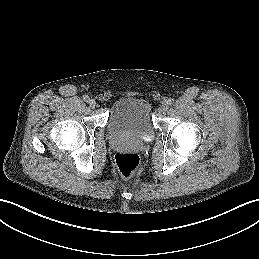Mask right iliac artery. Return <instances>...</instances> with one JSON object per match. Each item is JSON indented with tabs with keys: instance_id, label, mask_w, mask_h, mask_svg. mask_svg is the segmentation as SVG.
Here are the masks:
<instances>
[{
	"instance_id": "82829eb1",
	"label": "right iliac artery",
	"mask_w": 259,
	"mask_h": 259,
	"mask_svg": "<svg viewBox=\"0 0 259 259\" xmlns=\"http://www.w3.org/2000/svg\"><path fill=\"white\" fill-rule=\"evenodd\" d=\"M83 100L85 101V102H88L90 99H89V96H87V95H85V96H83Z\"/></svg>"
}]
</instances>
